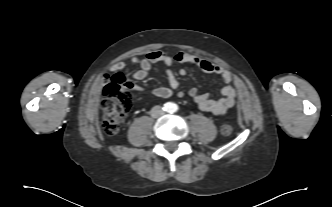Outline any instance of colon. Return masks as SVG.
Listing matches in <instances>:
<instances>
[{"mask_svg": "<svg viewBox=\"0 0 332 207\" xmlns=\"http://www.w3.org/2000/svg\"><path fill=\"white\" fill-rule=\"evenodd\" d=\"M133 85L123 72L113 74L106 83L102 101V128L106 135L115 136L120 129L124 117L132 106L130 90ZM222 133L230 135L233 127L230 124L222 126Z\"/></svg>", "mask_w": 332, "mask_h": 207, "instance_id": "obj_1", "label": "colon"}]
</instances>
